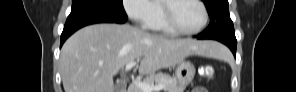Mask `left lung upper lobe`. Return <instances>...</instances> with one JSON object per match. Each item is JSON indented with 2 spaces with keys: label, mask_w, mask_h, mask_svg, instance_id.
I'll list each match as a JSON object with an SVG mask.
<instances>
[{
  "label": "left lung upper lobe",
  "mask_w": 296,
  "mask_h": 92,
  "mask_svg": "<svg viewBox=\"0 0 296 92\" xmlns=\"http://www.w3.org/2000/svg\"><path fill=\"white\" fill-rule=\"evenodd\" d=\"M210 16V24L202 33L208 39L235 38L233 22L229 15L228 0H202Z\"/></svg>",
  "instance_id": "1"
}]
</instances>
